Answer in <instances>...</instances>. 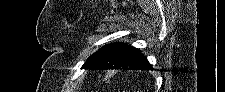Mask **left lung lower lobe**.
Segmentation results:
<instances>
[{
    "instance_id": "obj_1",
    "label": "left lung lower lobe",
    "mask_w": 225,
    "mask_h": 92,
    "mask_svg": "<svg viewBox=\"0 0 225 92\" xmlns=\"http://www.w3.org/2000/svg\"><path fill=\"white\" fill-rule=\"evenodd\" d=\"M107 69L152 70L153 68L139 49L125 45L95 68V70Z\"/></svg>"
}]
</instances>
